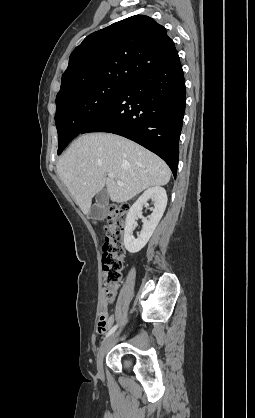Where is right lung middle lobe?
Masks as SVG:
<instances>
[{
	"label": "right lung middle lobe",
	"mask_w": 255,
	"mask_h": 418,
	"mask_svg": "<svg viewBox=\"0 0 255 418\" xmlns=\"http://www.w3.org/2000/svg\"><path fill=\"white\" fill-rule=\"evenodd\" d=\"M127 85L96 82L57 95L55 124L58 131V154L101 115Z\"/></svg>",
	"instance_id": "right-lung-middle-lobe-1"
}]
</instances>
